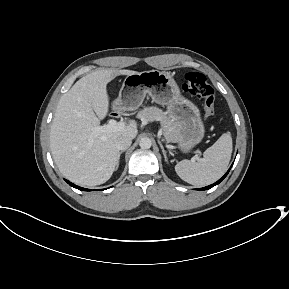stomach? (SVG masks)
Listing matches in <instances>:
<instances>
[{"label": "stomach", "instance_id": "stomach-1", "mask_svg": "<svg viewBox=\"0 0 289 289\" xmlns=\"http://www.w3.org/2000/svg\"><path fill=\"white\" fill-rule=\"evenodd\" d=\"M146 95L153 102L167 107V114L177 125L174 142L178 143L182 151L189 152L202 141L205 127L200 110L181 95L173 75L168 72L150 70L127 75L114 101V107L135 110Z\"/></svg>", "mask_w": 289, "mask_h": 289}]
</instances>
